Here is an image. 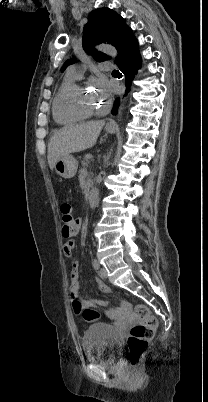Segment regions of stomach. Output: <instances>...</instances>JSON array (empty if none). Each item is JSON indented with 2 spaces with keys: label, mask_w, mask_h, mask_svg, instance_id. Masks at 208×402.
<instances>
[{
  "label": "stomach",
  "mask_w": 208,
  "mask_h": 402,
  "mask_svg": "<svg viewBox=\"0 0 208 402\" xmlns=\"http://www.w3.org/2000/svg\"><path fill=\"white\" fill-rule=\"evenodd\" d=\"M105 130L108 134H115L117 126L116 124H111V126L107 124ZM77 168V160H75L73 156H70V154H68V156H62L54 166L56 174H59L61 178H74Z\"/></svg>",
  "instance_id": "1"
}]
</instances>
